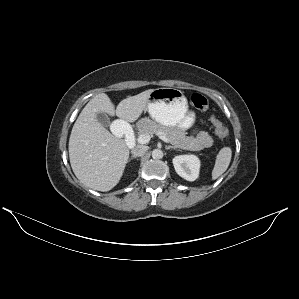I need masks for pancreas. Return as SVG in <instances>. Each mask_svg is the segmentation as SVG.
Returning a JSON list of instances; mask_svg holds the SVG:
<instances>
[{
    "mask_svg": "<svg viewBox=\"0 0 299 299\" xmlns=\"http://www.w3.org/2000/svg\"><path fill=\"white\" fill-rule=\"evenodd\" d=\"M139 134H162L167 137L175 148L185 150H201L204 147L212 145L213 140L207 133H201L196 138L187 137L183 131L176 127H167L150 120L149 118L141 119L137 123Z\"/></svg>",
    "mask_w": 299,
    "mask_h": 299,
    "instance_id": "obj_1",
    "label": "pancreas"
}]
</instances>
